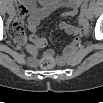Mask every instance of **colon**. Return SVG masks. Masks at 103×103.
I'll use <instances>...</instances> for the list:
<instances>
[{"mask_svg": "<svg viewBox=\"0 0 103 103\" xmlns=\"http://www.w3.org/2000/svg\"><path fill=\"white\" fill-rule=\"evenodd\" d=\"M55 65V59L52 55L44 57L41 61V67L44 69L52 68Z\"/></svg>", "mask_w": 103, "mask_h": 103, "instance_id": "colon-1", "label": "colon"}]
</instances>
